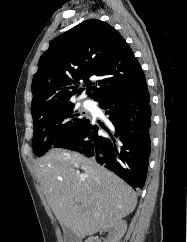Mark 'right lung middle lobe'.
Returning a JSON list of instances; mask_svg holds the SVG:
<instances>
[{"label": "right lung middle lobe", "mask_w": 187, "mask_h": 242, "mask_svg": "<svg viewBox=\"0 0 187 242\" xmlns=\"http://www.w3.org/2000/svg\"><path fill=\"white\" fill-rule=\"evenodd\" d=\"M87 119L80 117L73 103H68L33 117V151L38 157L62 139L73 134Z\"/></svg>", "instance_id": "dd1d6c3e"}]
</instances>
